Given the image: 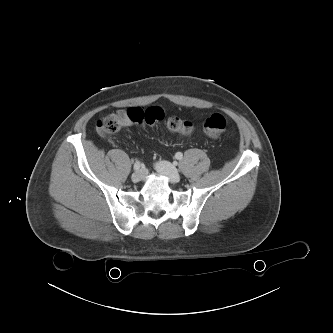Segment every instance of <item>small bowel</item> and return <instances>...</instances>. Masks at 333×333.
<instances>
[{
    "mask_svg": "<svg viewBox=\"0 0 333 333\" xmlns=\"http://www.w3.org/2000/svg\"><path fill=\"white\" fill-rule=\"evenodd\" d=\"M124 111L129 116L125 125L153 126L164 119V111L160 107H150L147 109L132 107Z\"/></svg>",
    "mask_w": 333,
    "mask_h": 333,
    "instance_id": "obj_1",
    "label": "small bowel"
}]
</instances>
